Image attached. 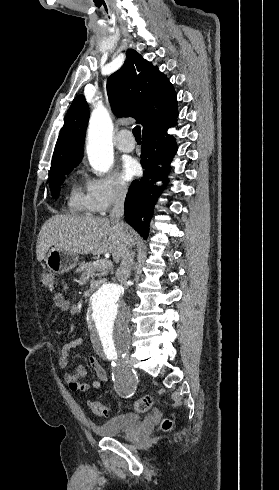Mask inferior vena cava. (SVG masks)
<instances>
[{"mask_svg": "<svg viewBox=\"0 0 279 490\" xmlns=\"http://www.w3.org/2000/svg\"><path fill=\"white\" fill-rule=\"evenodd\" d=\"M126 198V190L122 188V186H116L114 192V208L110 212V220L112 226H118L121 232H119V236H122L123 240L127 242L126 252H124L121 262L120 268H118L116 272V280L120 282V286H123L125 290H127V280L130 278L132 264L135 258V252L132 250L133 240H127V232H124L123 228L125 226L124 222H120V218H122L124 214V202Z\"/></svg>", "mask_w": 279, "mask_h": 490, "instance_id": "1", "label": "inferior vena cava"}]
</instances>
